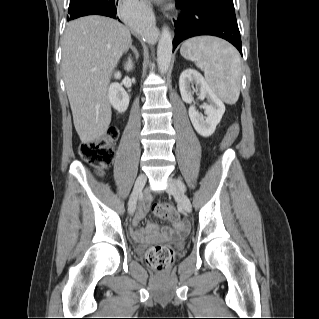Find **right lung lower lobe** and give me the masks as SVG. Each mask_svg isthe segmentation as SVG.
Segmentation results:
<instances>
[{
  "label": "right lung lower lobe",
  "mask_w": 319,
  "mask_h": 319,
  "mask_svg": "<svg viewBox=\"0 0 319 319\" xmlns=\"http://www.w3.org/2000/svg\"><path fill=\"white\" fill-rule=\"evenodd\" d=\"M118 0H90L75 13L70 14L67 19L72 20L87 15H102L118 19L116 16V6Z\"/></svg>",
  "instance_id": "right-lung-lower-lobe-1"
}]
</instances>
